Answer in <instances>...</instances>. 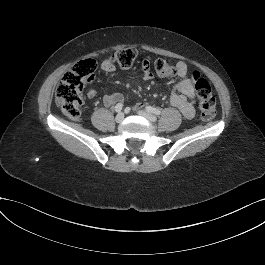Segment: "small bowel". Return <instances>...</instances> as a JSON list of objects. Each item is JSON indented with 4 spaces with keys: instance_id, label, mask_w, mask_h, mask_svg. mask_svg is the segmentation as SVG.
<instances>
[{
    "instance_id": "c3829d8e",
    "label": "small bowel",
    "mask_w": 265,
    "mask_h": 265,
    "mask_svg": "<svg viewBox=\"0 0 265 265\" xmlns=\"http://www.w3.org/2000/svg\"><path fill=\"white\" fill-rule=\"evenodd\" d=\"M101 68L104 71L112 72L115 70V65L109 59H107L102 62ZM141 69L144 80L150 81L154 78V74L151 71L148 60H142ZM176 69L180 79L173 86L170 95V102L173 106L177 107L181 111L182 115L186 119H192L196 113V92L193 83L186 78L188 73V65L184 61H179L176 63ZM96 95L97 91L95 89H90L87 92V97L89 99H93L96 97ZM123 99L124 98L121 93H110L104 95L103 103L105 106L110 107L118 104V102H122Z\"/></svg>"
}]
</instances>
